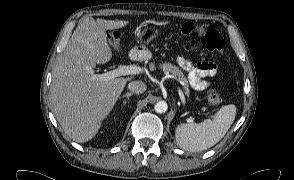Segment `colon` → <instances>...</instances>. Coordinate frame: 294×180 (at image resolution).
<instances>
[{
    "instance_id": "1",
    "label": "colon",
    "mask_w": 294,
    "mask_h": 180,
    "mask_svg": "<svg viewBox=\"0 0 294 180\" xmlns=\"http://www.w3.org/2000/svg\"><path fill=\"white\" fill-rule=\"evenodd\" d=\"M213 38V39H212ZM203 39L209 45V48L214 53L216 57L222 58L225 56V49L223 41L214 33V31L207 27L203 31ZM206 98L210 102H215L218 98L217 91L215 89H211L207 92Z\"/></svg>"
}]
</instances>
